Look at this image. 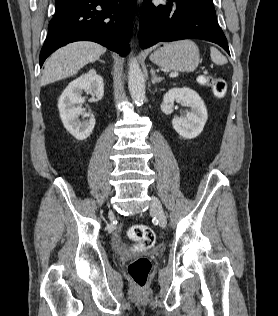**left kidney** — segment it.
Returning <instances> with one entry per match:
<instances>
[{"mask_svg":"<svg viewBox=\"0 0 278 316\" xmlns=\"http://www.w3.org/2000/svg\"><path fill=\"white\" fill-rule=\"evenodd\" d=\"M175 100L190 107L191 111L187 113L186 118L175 117L172 120L173 128L184 138L193 139L197 137L202 132L208 118L203 100L190 88L170 89L163 97L162 112L167 115L171 114Z\"/></svg>","mask_w":278,"mask_h":316,"instance_id":"5707ae66","label":"left kidney"}]
</instances>
